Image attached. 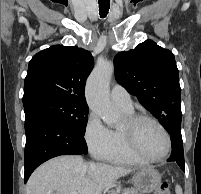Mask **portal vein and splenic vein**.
Here are the masks:
<instances>
[{"label": "portal vein and splenic vein", "instance_id": "1", "mask_svg": "<svg viewBox=\"0 0 201 194\" xmlns=\"http://www.w3.org/2000/svg\"><path fill=\"white\" fill-rule=\"evenodd\" d=\"M68 194H77V192H70V193H68Z\"/></svg>", "mask_w": 201, "mask_h": 194}]
</instances>
